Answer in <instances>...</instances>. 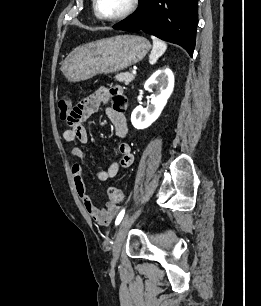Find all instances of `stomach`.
Segmentation results:
<instances>
[{"instance_id": "stomach-1", "label": "stomach", "mask_w": 261, "mask_h": 306, "mask_svg": "<svg viewBox=\"0 0 261 306\" xmlns=\"http://www.w3.org/2000/svg\"><path fill=\"white\" fill-rule=\"evenodd\" d=\"M150 47L146 38L137 35L101 39L74 49L65 59L61 70L71 82L118 72L141 61Z\"/></svg>"}]
</instances>
